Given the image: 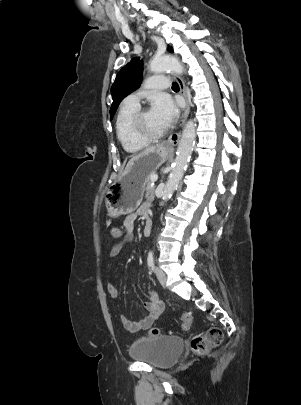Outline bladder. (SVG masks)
<instances>
[{"label":"bladder","mask_w":301,"mask_h":405,"mask_svg":"<svg viewBox=\"0 0 301 405\" xmlns=\"http://www.w3.org/2000/svg\"><path fill=\"white\" fill-rule=\"evenodd\" d=\"M183 348V341L178 337L142 336L131 344L129 354L136 361L168 368L179 359Z\"/></svg>","instance_id":"bladder-1"}]
</instances>
